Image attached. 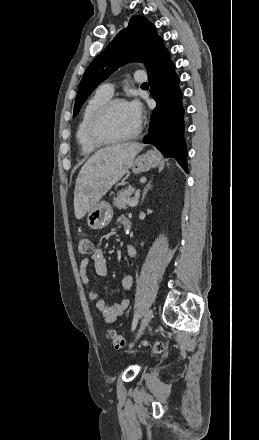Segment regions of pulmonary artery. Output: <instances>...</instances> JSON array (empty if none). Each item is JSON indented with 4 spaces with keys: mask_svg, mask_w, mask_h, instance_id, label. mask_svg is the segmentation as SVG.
Segmentation results:
<instances>
[{
    "mask_svg": "<svg viewBox=\"0 0 259 440\" xmlns=\"http://www.w3.org/2000/svg\"><path fill=\"white\" fill-rule=\"evenodd\" d=\"M147 79L146 75L142 71H137L134 73V81L136 83H143ZM99 90L107 95L112 96L114 92V87L110 83H104L99 87Z\"/></svg>",
    "mask_w": 259,
    "mask_h": 440,
    "instance_id": "obj_1",
    "label": "pulmonary artery"
}]
</instances>
